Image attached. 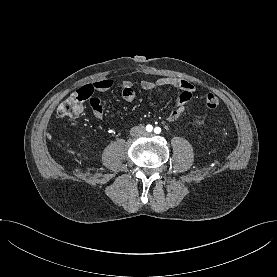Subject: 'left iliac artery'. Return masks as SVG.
Listing matches in <instances>:
<instances>
[{
    "instance_id": "left-iliac-artery-1",
    "label": "left iliac artery",
    "mask_w": 277,
    "mask_h": 277,
    "mask_svg": "<svg viewBox=\"0 0 277 277\" xmlns=\"http://www.w3.org/2000/svg\"><path fill=\"white\" fill-rule=\"evenodd\" d=\"M154 132L156 134H159L161 132V128L160 127H155Z\"/></svg>"
}]
</instances>
